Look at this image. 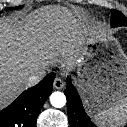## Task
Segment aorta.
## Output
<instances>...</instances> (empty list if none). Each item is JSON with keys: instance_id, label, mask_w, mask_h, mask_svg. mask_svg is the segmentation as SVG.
<instances>
[{"instance_id": "aorta-1", "label": "aorta", "mask_w": 127, "mask_h": 127, "mask_svg": "<svg viewBox=\"0 0 127 127\" xmlns=\"http://www.w3.org/2000/svg\"><path fill=\"white\" fill-rule=\"evenodd\" d=\"M50 103L55 108H62L66 104V97L64 93L56 91L50 96Z\"/></svg>"}]
</instances>
